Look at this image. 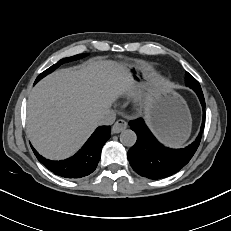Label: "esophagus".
Returning a JSON list of instances; mask_svg holds the SVG:
<instances>
[{
  "instance_id": "34e87169",
  "label": "esophagus",
  "mask_w": 231,
  "mask_h": 231,
  "mask_svg": "<svg viewBox=\"0 0 231 231\" xmlns=\"http://www.w3.org/2000/svg\"><path fill=\"white\" fill-rule=\"evenodd\" d=\"M126 128H127V122L119 119L114 123L111 131L113 134H116V133H120L121 131H123Z\"/></svg>"
}]
</instances>
